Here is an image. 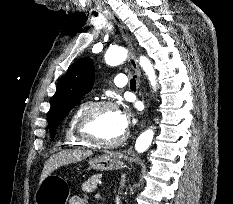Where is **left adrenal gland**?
<instances>
[{
	"instance_id": "obj_1",
	"label": "left adrenal gland",
	"mask_w": 233,
	"mask_h": 204,
	"mask_svg": "<svg viewBox=\"0 0 233 204\" xmlns=\"http://www.w3.org/2000/svg\"><path fill=\"white\" fill-rule=\"evenodd\" d=\"M124 183H125V175L122 176V179H121V188L124 187Z\"/></svg>"
}]
</instances>
